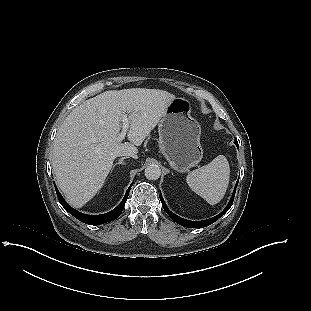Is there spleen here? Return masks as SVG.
<instances>
[{
    "label": "spleen",
    "instance_id": "3e777b00",
    "mask_svg": "<svg viewBox=\"0 0 311 311\" xmlns=\"http://www.w3.org/2000/svg\"><path fill=\"white\" fill-rule=\"evenodd\" d=\"M230 178V167L225 156L219 155L209 164L190 172L186 181L192 191L209 204L215 205L224 197Z\"/></svg>",
    "mask_w": 311,
    "mask_h": 311
}]
</instances>
